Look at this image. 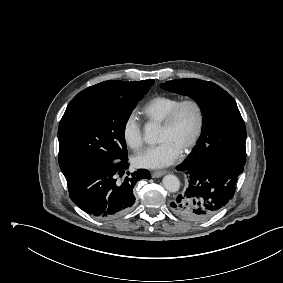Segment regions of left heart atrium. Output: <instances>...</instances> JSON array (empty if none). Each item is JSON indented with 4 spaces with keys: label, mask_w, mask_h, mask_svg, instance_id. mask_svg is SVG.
Listing matches in <instances>:
<instances>
[{
    "label": "left heart atrium",
    "mask_w": 283,
    "mask_h": 283,
    "mask_svg": "<svg viewBox=\"0 0 283 283\" xmlns=\"http://www.w3.org/2000/svg\"><path fill=\"white\" fill-rule=\"evenodd\" d=\"M181 150L169 141L149 146L137 152L133 163L137 167L159 169L173 164L180 156Z\"/></svg>",
    "instance_id": "left-heart-atrium-1"
}]
</instances>
